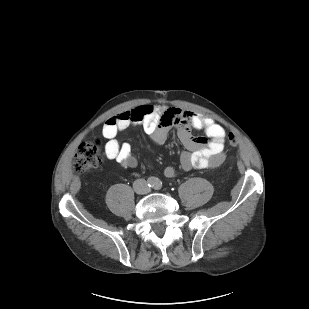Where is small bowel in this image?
<instances>
[{
	"mask_svg": "<svg viewBox=\"0 0 309 309\" xmlns=\"http://www.w3.org/2000/svg\"><path fill=\"white\" fill-rule=\"evenodd\" d=\"M131 126H141L156 145L163 144L171 130L175 129L185 148L180 155V165L184 171L216 168L225 161L226 131L212 119L176 107L141 104L109 118L102 129V135L107 140L104 155L122 166L134 168L138 164L131 145L128 142L120 143L115 138L119 131ZM193 130L203 131L205 137L193 136ZM164 174L172 178L175 169L166 167Z\"/></svg>",
	"mask_w": 309,
	"mask_h": 309,
	"instance_id": "c3829d8e",
	"label": "small bowel"
}]
</instances>
